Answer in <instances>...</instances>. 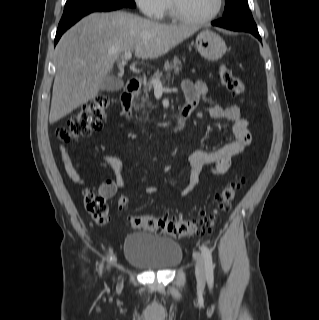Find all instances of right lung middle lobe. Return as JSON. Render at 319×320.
<instances>
[{"instance_id":"1","label":"right lung middle lobe","mask_w":319,"mask_h":320,"mask_svg":"<svg viewBox=\"0 0 319 320\" xmlns=\"http://www.w3.org/2000/svg\"><path fill=\"white\" fill-rule=\"evenodd\" d=\"M119 5L126 7L136 6L134 0H67L59 25H63L91 10Z\"/></svg>"}]
</instances>
